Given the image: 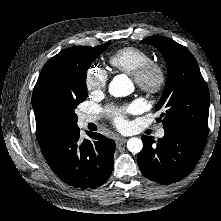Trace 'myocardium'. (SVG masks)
I'll use <instances>...</instances> for the list:
<instances>
[{
    "mask_svg": "<svg viewBox=\"0 0 221 221\" xmlns=\"http://www.w3.org/2000/svg\"><path fill=\"white\" fill-rule=\"evenodd\" d=\"M134 80L144 92L156 94L164 89L167 74L165 68L160 63L149 61L136 72Z\"/></svg>",
    "mask_w": 221,
    "mask_h": 221,
    "instance_id": "myocardium-1",
    "label": "myocardium"
}]
</instances>
